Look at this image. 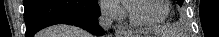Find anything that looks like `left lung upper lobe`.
Segmentation results:
<instances>
[{
    "label": "left lung upper lobe",
    "mask_w": 219,
    "mask_h": 37,
    "mask_svg": "<svg viewBox=\"0 0 219 37\" xmlns=\"http://www.w3.org/2000/svg\"><path fill=\"white\" fill-rule=\"evenodd\" d=\"M180 5H182L183 0H177Z\"/></svg>",
    "instance_id": "obj_1"
}]
</instances>
